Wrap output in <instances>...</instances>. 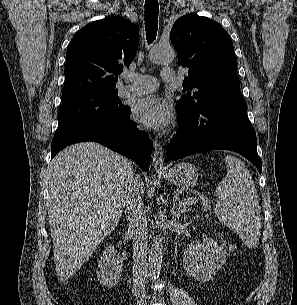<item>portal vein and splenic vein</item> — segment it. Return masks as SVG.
<instances>
[{
	"mask_svg": "<svg viewBox=\"0 0 297 305\" xmlns=\"http://www.w3.org/2000/svg\"><path fill=\"white\" fill-rule=\"evenodd\" d=\"M199 196H203L201 193H197ZM193 201V198L191 197V198H188L187 200H184V202H192Z\"/></svg>",
	"mask_w": 297,
	"mask_h": 305,
	"instance_id": "portal-vein-and-splenic-vein-1",
	"label": "portal vein and splenic vein"
}]
</instances>
